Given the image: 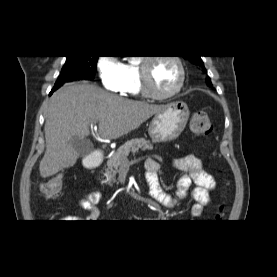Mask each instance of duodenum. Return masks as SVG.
Here are the masks:
<instances>
[{"mask_svg":"<svg viewBox=\"0 0 277 277\" xmlns=\"http://www.w3.org/2000/svg\"><path fill=\"white\" fill-rule=\"evenodd\" d=\"M103 158L102 152L94 150L84 159V166L87 169L99 168L103 162Z\"/></svg>","mask_w":277,"mask_h":277,"instance_id":"duodenum-1","label":"duodenum"}]
</instances>
